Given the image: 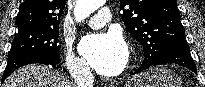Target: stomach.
<instances>
[{"label": "stomach", "mask_w": 205, "mask_h": 87, "mask_svg": "<svg viewBox=\"0 0 205 87\" xmlns=\"http://www.w3.org/2000/svg\"><path fill=\"white\" fill-rule=\"evenodd\" d=\"M126 87H181V80L171 70L154 67L133 76Z\"/></svg>", "instance_id": "stomach-1"}]
</instances>
